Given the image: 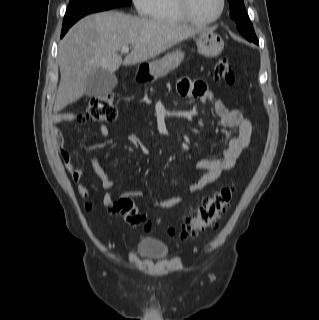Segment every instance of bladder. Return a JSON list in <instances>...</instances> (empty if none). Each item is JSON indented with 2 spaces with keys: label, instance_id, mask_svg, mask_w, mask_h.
I'll use <instances>...</instances> for the list:
<instances>
[{
  "label": "bladder",
  "instance_id": "31cf9c89",
  "mask_svg": "<svg viewBox=\"0 0 319 320\" xmlns=\"http://www.w3.org/2000/svg\"><path fill=\"white\" fill-rule=\"evenodd\" d=\"M135 252L142 258L157 259L166 257L170 252V248L163 241L149 237H140Z\"/></svg>",
  "mask_w": 319,
  "mask_h": 320
}]
</instances>
